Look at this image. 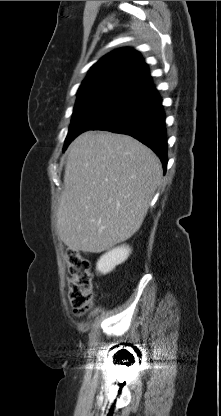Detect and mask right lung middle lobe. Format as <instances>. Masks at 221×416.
Wrapping results in <instances>:
<instances>
[{
	"label": "right lung middle lobe",
	"instance_id": "right-lung-middle-lobe-1",
	"mask_svg": "<svg viewBox=\"0 0 221 416\" xmlns=\"http://www.w3.org/2000/svg\"><path fill=\"white\" fill-rule=\"evenodd\" d=\"M126 97L102 93L78 98L64 150L77 135L97 126Z\"/></svg>",
	"mask_w": 221,
	"mask_h": 416
}]
</instances>
